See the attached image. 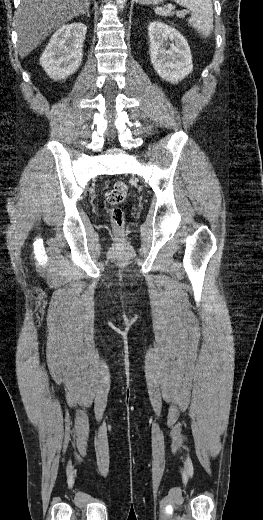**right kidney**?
<instances>
[{"label":"right kidney","mask_w":263,"mask_h":520,"mask_svg":"<svg viewBox=\"0 0 263 520\" xmlns=\"http://www.w3.org/2000/svg\"><path fill=\"white\" fill-rule=\"evenodd\" d=\"M86 32L85 24L75 22L53 34L40 57V64L50 78L66 79L77 71L82 62Z\"/></svg>","instance_id":"1"}]
</instances>
